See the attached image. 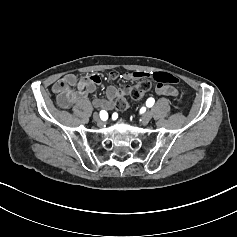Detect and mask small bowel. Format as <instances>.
<instances>
[{"label":"small bowel","instance_id":"small-bowel-1","mask_svg":"<svg viewBox=\"0 0 237 237\" xmlns=\"http://www.w3.org/2000/svg\"><path fill=\"white\" fill-rule=\"evenodd\" d=\"M149 76V73L134 71L121 74L118 71H111L109 77L112 80L120 78L126 80H137ZM102 79L98 75L84 76L80 79L74 74H67L56 81L52 86V91L56 95L57 104L62 109L75 108L81 118L88 116L92 107L102 110H111L115 107V101L121 94V90L116 86H109L106 90V98H95L91 102L87 96L93 93L101 84ZM157 95L176 96L177 90L168 85L158 83L155 87Z\"/></svg>","mask_w":237,"mask_h":237}]
</instances>
